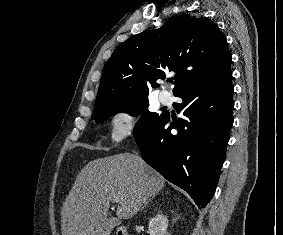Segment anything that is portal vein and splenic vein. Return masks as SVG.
<instances>
[{"label":"portal vein and splenic vein","mask_w":283,"mask_h":235,"mask_svg":"<svg viewBox=\"0 0 283 235\" xmlns=\"http://www.w3.org/2000/svg\"><path fill=\"white\" fill-rule=\"evenodd\" d=\"M113 201L116 202V203H118V202L120 201V199H119V197L114 196V197H113Z\"/></svg>","instance_id":"1"}]
</instances>
